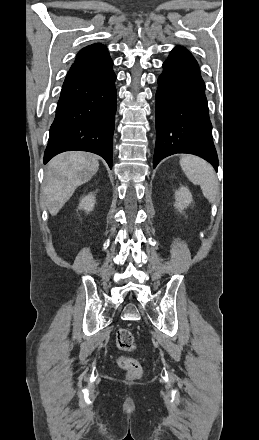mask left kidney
<instances>
[{
	"mask_svg": "<svg viewBox=\"0 0 259 440\" xmlns=\"http://www.w3.org/2000/svg\"><path fill=\"white\" fill-rule=\"evenodd\" d=\"M193 201L191 192L186 187H180L175 192V207L182 211Z\"/></svg>",
	"mask_w": 259,
	"mask_h": 440,
	"instance_id": "5707ae66",
	"label": "left kidney"
}]
</instances>
